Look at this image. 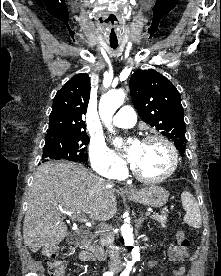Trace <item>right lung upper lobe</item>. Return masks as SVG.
<instances>
[{"mask_svg": "<svg viewBox=\"0 0 221 276\" xmlns=\"http://www.w3.org/2000/svg\"><path fill=\"white\" fill-rule=\"evenodd\" d=\"M89 98V76L86 73L73 76L54 97L46 136L85 132L82 115L86 113Z\"/></svg>", "mask_w": 221, "mask_h": 276, "instance_id": "cb5924a9", "label": "right lung upper lobe"}]
</instances>
